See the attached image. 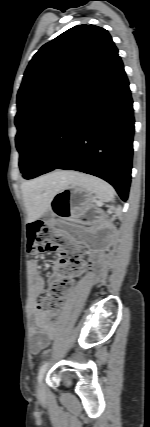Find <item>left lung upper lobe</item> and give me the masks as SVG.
I'll return each instance as SVG.
<instances>
[{"label":"left lung upper lobe","instance_id":"obj_1","mask_svg":"<svg viewBox=\"0 0 150 427\" xmlns=\"http://www.w3.org/2000/svg\"><path fill=\"white\" fill-rule=\"evenodd\" d=\"M118 50L98 26L78 25L43 45L30 61L17 95L16 147L25 173L60 114Z\"/></svg>","mask_w":150,"mask_h":427}]
</instances>
